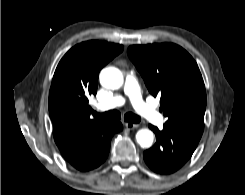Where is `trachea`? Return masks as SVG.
<instances>
[{
  "label": "trachea",
  "instance_id": "trachea-1",
  "mask_svg": "<svg viewBox=\"0 0 245 195\" xmlns=\"http://www.w3.org/2000/svg\"><path fill=\"white\" fill-rule=\"evenodd\" d=\"M93 115L96 118H100V119H105V120H119L121 118V114L119 111L117 110H111L108 112H105L103 114H99L97 112H93ZM125 121L130 122V123H139L141 121V118L131 112L126 113L124 116Z\"/></svg>",
  "mask_w": 245,
  "mask_h": 195
}]
</instances>
